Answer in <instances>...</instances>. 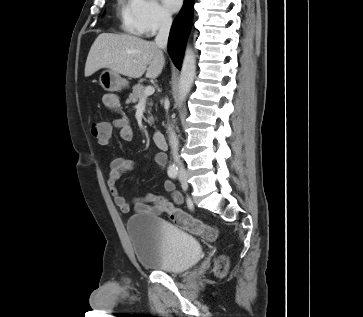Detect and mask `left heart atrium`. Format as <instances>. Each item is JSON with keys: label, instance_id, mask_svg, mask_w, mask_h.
Returning a JSON list of instances; mask_svg holds the SVG:
<instances>
[{"label": "left heart atrium", "instance_id": "obj_1", "mask_svg": "<svg viewBox=\"0 0 363 317\" xmlns=\"http://www.w3.org/2000/svg\"><path fill=\"white\" fill-rule=\"evenodd\" d=\"M167 11L176 12L182 4V0H162Z\"/></svg>", "mask_w": 363, "mask_h": 317}]
</instances>
